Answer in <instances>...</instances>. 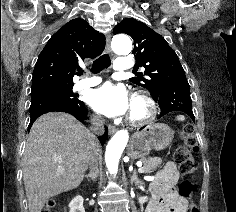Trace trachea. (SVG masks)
I'll list each match as a JSON object with an SVG mask.
<instances>
[{
	"mask_svg": "<svg viewBox=\"0 0 236 212\" xmlns=\"http://www.w3.org/2000/svg\"><path fill=\"white\" fill-rule=\"evenodd\" d=\"M111 65V60L108 54H103L97 58L92 65L90 71L94 74L101 72L103 69L108 68ZM83 70L78 71V75H82Z\"/></svg>",
	"mask_w": 236,
	"mask_h": 212,
	"instance_id": "3493384b",
	"label": "trachea"
}]
</instances>
